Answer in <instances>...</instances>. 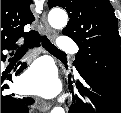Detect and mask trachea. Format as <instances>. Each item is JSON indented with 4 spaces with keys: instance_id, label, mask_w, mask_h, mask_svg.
Segmentation results:
<instances>
[{
    "instance_id": "trachea-1",
    "label": "trachea",
    "mask_w": 121,
    "mask_h": 113,
    "mask_svg": "<svg viewBox=\"0 0 121 113\" xmlns=\"http://www.w3.org/2000/svg\"><path fill=\"white\" fill-rule=\"evenodd\" d=\"M42 45L43 47L50 53L64 54V52L60 51L56 46H54L47 37H42ZM22 50L26 48H21Z\"/></svg>"
}]
</instances>
